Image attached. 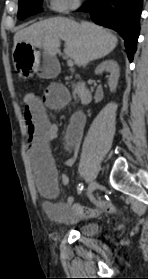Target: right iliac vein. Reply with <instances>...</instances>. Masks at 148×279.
Instances as JSON below:
<instances>
[{"label":"right iliac vein","instance_id":"1","mask_svg":"<svg viewBox=\"0 0 148 279\" xmlns=\"http://www.w3.org/2000/svg\"><path fill=\"white\" fill-rule=\"evenodd\" d=\"M97 187V183L95 180H92L87 188V191H86V196L87 197H91L93 195V192L95 191Z\"/></svg>","mask_w":148,"mask_h":279}]
</instances>
